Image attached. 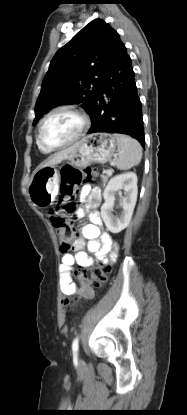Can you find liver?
I'll return each instance as SVG.
<instances>
[{
  "instance_id": "obj_1",
  "label": "liver",
  "mask_w": 187,
  "mask_h": 415,
  "mask_svg": "<svg viewBox=\"0 0 187 415\" xmlns=\"http://www.w3.org/2000/svg\"><path fill=\"white\" fill-rule=\"evenodd\" d=\"M76 145H73L67 149H64L56 154H54L53 156H51L46 163H44L43 165L39 166V168L42 167H46V166H52L55 165L57 163H60L62 160H64L75 148Z\"/></svg>"
}]
</instances>
